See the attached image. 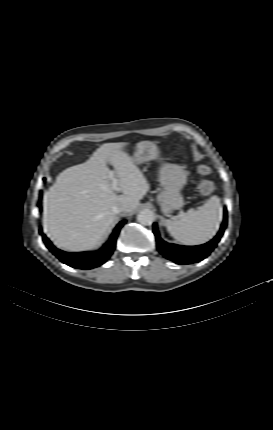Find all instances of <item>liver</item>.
Instances as JSON below:
<instances>
[{"mask_svg": "<svg viewBox=\"0 0 273 430\" xmlns=\"http://www.w3.org/2000/svg\"><path fill=\"white\" fill-rule=\"evenodd\" d=\"M126 142L105 143L84 163L65 169L44 196L43 230L59 248L82 251L96 247L114 221L112 206L134 211L149 190L141 170L124 148ZM114 166L122 195L109 182Z\"/></svg>", "mask_w": 273, "mask_h": 430, "instance_id": "liver-1", "label": "liver"}]
</instances>
